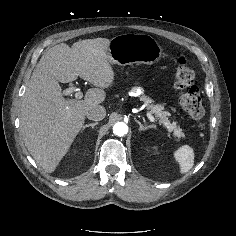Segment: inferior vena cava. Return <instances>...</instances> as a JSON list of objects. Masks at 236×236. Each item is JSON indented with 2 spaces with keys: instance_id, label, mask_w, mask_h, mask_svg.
Segmentation results:
<instances>
[{
  "instance_id": "602c4592",
  "label": "inferior vena cava",
  "mask_w": 236,
  "mask_h": 236,
  "mask_svg": "<svg viewBox=\"0 0 236 236\" xmlns=\"http://www.w3.org/2000/svg\"><path fill=\"white\" fill-rule=\"evenodd\" d=\"M86 116L88 119L93 121L103 120L106 116V110L101 105H95L88 109L86 112Z\"/></svg>"
}]
</instances>
